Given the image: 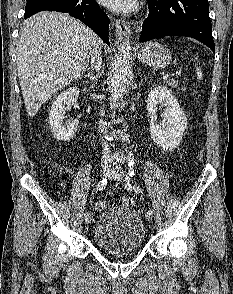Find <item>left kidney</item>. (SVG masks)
<instances>
[{
    "label": "left kidney",
    "mask_w": 233,
    "mask_h": 294,
    "mask_svg": "<svg viewBox=\"0 0 233 294\" xmlns=\"http://www.w3.org/2000/svg\"><path fill=\"white\" fill-rule=\"evenodd\" d=\"M166 108L161 114L162 121L157 122V105ZM147 111L150 116V135L152 140L164 150H172L179 146L187 127V118L177 99L165 87L151 89L147 99Z\"/></svg>",
    "instance_id": "left-kidney-1"
}]
</instances>
